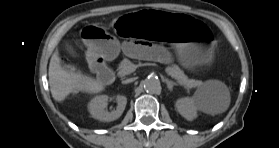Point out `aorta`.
<instances>
[{"label": "aorta", "instance_id": "obj_1", "mask_svg": "<svg viewBox=\"0 0 279 148\" xmlns=\"http://www.w3.org/2000/svg\"><path fill=\"white\" fill-rule=\"evenodd\" d=\"M143 84L144 89L151 94H157L161 92V83L158 77L149 76L143 81Z\"/></svg>", "mask_w": 279, "mask_h": 148}]
</instances>
